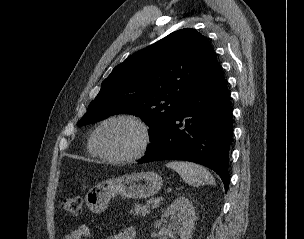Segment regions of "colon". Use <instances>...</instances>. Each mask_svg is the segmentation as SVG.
Wrapping results in <instances>:
<instances>
[{"instance_id": "1", "label": "colon", "mask_w": 304, "mask_h": 239, "mask_svg": "<svg viewBox=\"0 0 304 239\" xmlns=\"http://www.w3.org/2000/svg\"><path fill=\"white\" fill-rule=\"evenodd\" d=\"M62 208L71 215H79L82 212V198L78 195L68 196L62 201Z\"/></svg>"}]
</instances>
